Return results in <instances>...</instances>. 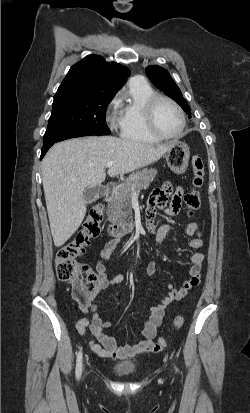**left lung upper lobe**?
I'll use <instances>...</instances> for the list:
<instances>
[{"label":"left lung upper lobe","instance_id":"5c2ea615","mask_svg":"<svg viewBox=\"0 0 250 413\" xmlns=\"http://www.w3.org/2000/svg\"><path fill=\"white\" fill-rule=\"evenodd\" d=\"M146 74L157 88L175 100L190 117V107L167 70L159 66H149L146 68Z\"/></svg>","mask_w":250,"mask_h":413}]
</instances>
